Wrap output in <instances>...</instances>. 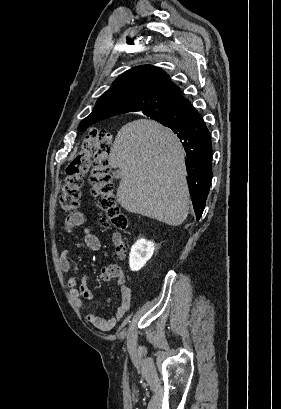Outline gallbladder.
Masks as SVG:
<instances>
[{"instance_id":"gallbladder-1","label":"gallbladder","mask_w":281,"mask_h":409,"mask_svg":"<svg viewBox=\"0 0 281 409\" xmlns=\"http://www.w3.org/2000/svg\"><path fill=\"white\" fill-rule=\"evenodd\" d=\"M114 176H116V178H119L120 176V172L119 170H115V172H113Z\"/></svg>"}]
</instances>
